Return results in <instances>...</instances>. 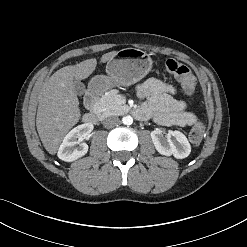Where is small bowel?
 Wrapping results in <instances>:
<instances>
[{"mask_svg":"<svg viewBox=\"0 0 247 247\" xmlns=\"http://www.w3.org/2000/svg\"><path fill=\"white\" fill-rule=\"evenodd\" d=\"M136 94L147 102L136 110L140 119L153 118L160 124L191 126L196 123L195 114L187 112L186 103L175 98L176 88L156 78H149L136 86Z\"/></svg>","mask_w":247,"mask_h":247,"instance_id":"c3829d8e","label":"small bowel"}]
</instances>
